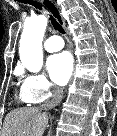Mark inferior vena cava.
<instances>
[{"mask_svg": "<svg viewBox=\"0 0 117 136\" xmlns=\"http://www.w3.org/2000/svg\"><path fill=\"white\" fill-rule=\"evenodd\" d=\"M63 98V89L60 87H55L52 93V97L41 105L42 110H50L56 107Z\"/></svg>", "mask_w": 117, "mask_h": 136, "instance_id": "inferior-vena-cava-1", "label": "inferior vena cava"}]
</instances>
